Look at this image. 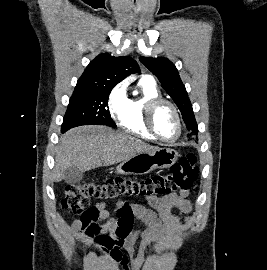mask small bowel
Listing matches in <instances>:
<instances>
[{
    "instance_id": "small-bowel-1",
    "label": "small bowel",
    "mask_w": 267,
    "mask_h": 270,
    "mask_svg": "<svg viewBox=\"0 0 267 270\" xmlns=\"http://www.w3.org/2000/svg\"><path fill=\"white\" fill-rule=\"evenodd\" d=\"M188 194L189 191H185L164 198L152 199L150 204L153 209L129 202H117L116 219L110 218L104 203H97L90 213L72 223V229L95 237L99 244L108 247L114 263L119 256L123 257L126 264L125 270H129L128 259L121 252V248L125 249L130 255V270H142L146 263V249L154 243L173 237L184 228L188 218L179 219L174 215L173 210H178L185 215L190 214L192 205L187 198ZM135 219L140 220L144 228L132 232ZM137 241H139V246L135 252Z\"/></svg>"
}]
</instances>
